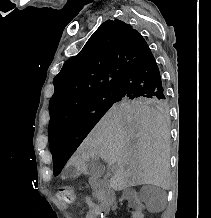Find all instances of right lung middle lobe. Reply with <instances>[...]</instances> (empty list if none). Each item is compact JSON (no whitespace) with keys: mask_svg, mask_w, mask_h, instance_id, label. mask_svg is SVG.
<instances>
[{"mask_svg":"<svg viewBox=\"0 0 211 218\" xmlns=\"http://www.w3.org/2000/svg\"><path fill=\"white\" fill-rule=\"evenodd\" d=\"M133 107L140 105L151 106L161 112L168 110L166 98L157 97H120L110 91L89 99L58 117L49 126L50 147L64 143L79 146L102 116L113 106ZM65 163L53 164V174L57 176Z\"/></svg>","mask_w":211,"mask_h":218,"instance_id":"dd1d6c3e","label":"right lung middle lobe"}]
</instances>
